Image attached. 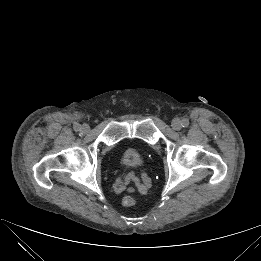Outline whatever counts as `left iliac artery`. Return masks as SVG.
<instances>
[{
	"mask_svg": "<svg viewBox=\"0 0 261 261\" xmlns=\"http://www.w3.org/2000/svg\"><path fill=\"white\" fill-rule=\"evenodd\" d=\"M181 125L183 127H187L189 125V120L188 119H183Z\"/></svg>",
	"mask_w": 261,
	"mask_h": 261,
	"instance_id": "44dca946",
	"label": "left iliac artery"
}]
</instances>
